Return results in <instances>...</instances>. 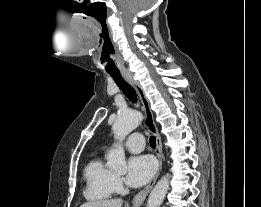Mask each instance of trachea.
<instances>
[{
	"mask_svg": "<svg viewBox=\"0 0 261 207\" xmlns=\"http://www.w3.org/2000/svg\"><path fill=\"white\" fill-rule=\"evenodd\" d=\"M117 86L123 91L125 96L133 103L137 102V95L134 88L122 77L120 73L110 74ZM152 148L156 147V138L151 136L149 139Z\"/></svg>",
	"mask_w": 261,
	"mask_h": 207,
	"instance_id": "trachea-1",
	"label": "trachea"
}]
</instances>
